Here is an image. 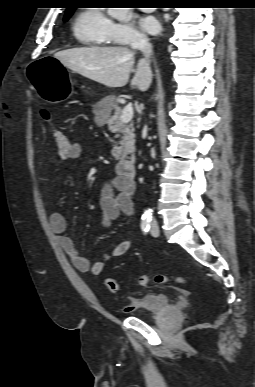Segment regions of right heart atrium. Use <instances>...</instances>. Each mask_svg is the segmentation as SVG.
Listing matches in <instances>:
<instances>
[{
    "mask_svg": "<svg viewBox=\"0 0 255 387\" xmlns=\"http://www.w3.org/2000/svg\"><path fill=\"white\" fill-rule=\"evenodd\" d=\"M109 39L118 45H132L146 41L147 37L130 21L111 22Z\"/></svg>",
    "mask_w": 255,
    "mask_h": 387,
    "instance_id": "right-heart-atrium-1",
    "label": "right heart atrium"
}]
</instances>
